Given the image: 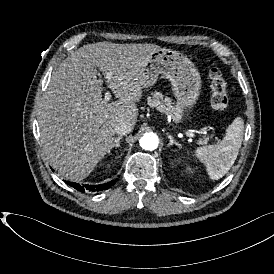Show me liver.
<instances>
[{"label": "liver", "mask_w": 274, "mask_h": 274, "mask_svg": "<svg viewBox=\"0 0 274 274\" xmlns=\"http://www.w3.org/2000/svg\"><path fill=\"white\" fill-rule=\"evenodd\" d=\"M159 49L147 43L88 44L71 51L53 72L39 105L38 124L44 153L62 177H89L112 150L115 125H135L144 68ZM98 71L117 101L103 97Z\"/></svg>", "instance_id": "1"}]
</instances>
